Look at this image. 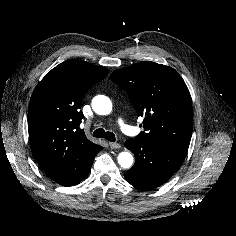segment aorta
<instances>
[{
    "label": "aorta",
    "instance_id": "aorta-1",
    "mask_svg": "<svg viewBox=\"0 0 236 236\" xmlns=\"http://www.w3.org/2000/svg\"><path fill=\"white\" fill-rule=\"evenodd\" d=\"M93 110L99 115H108L112 111V103L109 98L105 97L100 103H92ZM133 155L123 151L118 155V163L122 168H130L133 164Z\"/></svg>",
    "mask_w": 236,
    "mask_h": 236
}]
</instances>
